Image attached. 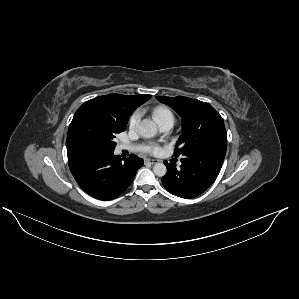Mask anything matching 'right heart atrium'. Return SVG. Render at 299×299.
<instances>
[{"instance_id":"1","label":"right heart atrium","mask_w":299,"mask_h":299,"mask_svg":"<svg viewBox=\"0 0 299 299\" xmlns=\"http://www.w3.org/2000/svg\"><path fill=\"white\" fill-rule=\"evenodd\" d=\"M140 118H141V111L140 110L135 111L129 118V122H128L129 127L131 129H135Z\"/></svg>"}]
</instances>
